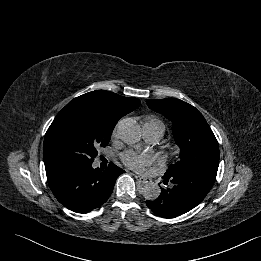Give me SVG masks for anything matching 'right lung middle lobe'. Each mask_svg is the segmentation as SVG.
Segmentation results:
<instances>
[{"label":"right lung middle lobe","mask_w":261,"mask_h":261,"mask_svg":"<svg viewBox=\"0 0 261 261\" xmlns=\"http://www.w3.org/2000/svg\"><path fill=\"white\" fill-rule=\"evenodd\" d=\"M116 122L99 115L89 103L67 104L48 128L43 145L45 168L93 162L105 147Z\"/></svg>","instance_id":"dd1d6c3e"}]
</instances>
